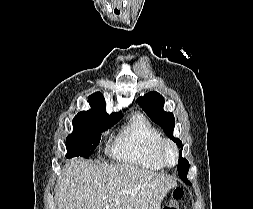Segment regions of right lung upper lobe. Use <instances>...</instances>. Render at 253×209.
<instances>
[{"label":"right lung upper lobe","instance_id":"cb5924a9","mask_svg":"<svg viewBox=\"0 0 253 209\" xmlns=\"http://www.w3.org/2000/svg\"><path fill=\"white\" fill-rule=\"evenodd\" d=\"M88 102L91 106V109L88 111L79 112L73 120L89 117V116H97L104 119H117L121 117V112H115L111 115H108L105 110V99L100 92H96L89 96Z\"/></svg>","mask_w":253,"mask_h":209}]
</instances>
